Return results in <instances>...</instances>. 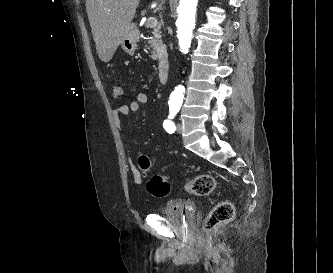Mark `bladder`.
I'll use <instances>...</instances> for the list:
<instances>
[{
    "label": "bladder",
    "instance_id": "31cf9c89",
    "mask_svg": "<svg viewBox=\"0 0 333 273\" xmlns=\"http://www.w3.org/2000/svg\"><path fill=\"white\" fill-rule=\"evenodd\" d=\"M195 206L188 200H174L162 209L165 220L178 228L189 227L195 220Z\"/></svg>",
    "mask_w": 333,
    "mask_h": 273
}]
</instances>
